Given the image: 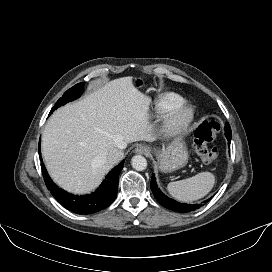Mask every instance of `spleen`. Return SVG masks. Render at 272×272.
<instances>
[{"label": "spleen", "mask_w": 272, "mask_h": 272, "mask_svg": "<svg viewBox=\"0 0 272 272\" xmlns=\"http://www.w3.org/2000/svg\"><path fill=\"white\" fill-rule=\"evenodd\" d=\"M215 184V176L201 172L180 181L170 182L167 189L172 197L181 202H192L206 196Z\"/></svg>", "instance_id": "spleen-1"}]
</instances>
